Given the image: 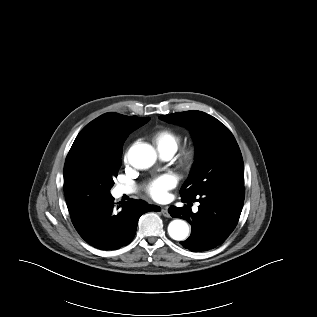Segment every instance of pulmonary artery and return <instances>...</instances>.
Listing matches in <instances>:
<instances>
[{"label": "pulmonary artery", "mask_w": 317, "mask_h": 317, "mask_svg": "<svg viewBox=\"0 0 317 317\" xmlns=\"http://www.w3.org/2000/svg\"><path fill=\"white\" fill-rule=\"evenodd\" d=\"M165 159H170L172 157L173 154L171 153H165V154H161ZM134 192V189L132 187L129 186H123V185H119L116 187V194L117 196H122V195H128Z\"/></svg>", "instance_id": "e3ab8cb5"}]
</instances>
